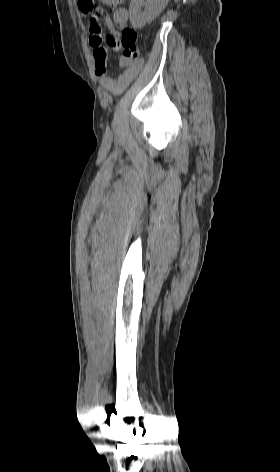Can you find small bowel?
<instances>
[{"instance_id":"obj_1","label":"small bowel","mask_w":280,"mask_h":472,"mask_svg":"<svg viewBox=\"0 0 280 472\" xmlns=\"http://www.w3.org/2000/svg\"><path fill=\"white\" fill-rule=\"evenodd\" d=\"M83 1L79 0L78 6L83 14H88L92 10L87 9L83 5ZM111 8V12L106 13L101 7L96 8V12L101 16L109 34L103 35L102 28L98 20L90 24L89 29V44L93 49V56L95 62V72L99 77V84L101 88L108 91L114 96L120 95L130 83L137 77L143 68V60L141 58H128L124 55L119 57L120 72L115 77L106 75V64L108 57V50L112 49L118 52L120 45L119 29H124L129 19L128 10L124 7H118V4L123 0H101Z\"/></svg>"}]
</instances>
